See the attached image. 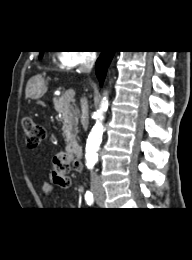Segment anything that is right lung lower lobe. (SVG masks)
<instances>
[{
  "mask_svg": "<svg viewBox=\"0 0 192 260\" xmlns=\"http://www.w3.org/2000/svg\"><path fill=\"white\" fill-rule=\"evenodd\" d=\"M115 51H101L96 62V75L102 84L107 72V68L112 60Z\"/></svg>",
  "mask_w": 192,
  "mask_h": 260,
  "instance_id": "obj_1",
  "label": "right lung lower lobe"
}]
</instances>
